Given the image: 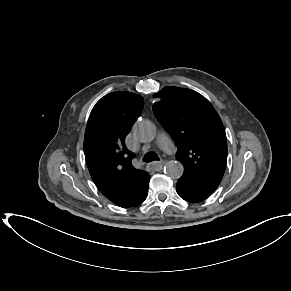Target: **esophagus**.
<instances>
[{
    "instance_id": "esophagus-1",
    "label": "esophagus",
    "mask_w": 291,
    "mask_h": 291,
    "mask_svg": "<svg viewBox=\"0 0 291 291\" xmlns=\"http://www.w3.org/2000/svg\"><path fill=\"white\" fill-rule=\"evenodd\" d=\"M165 165V161L161 160L158 162H153L150 164V168L154 171H159L163 168V166Z\"/></svg>"
}]
</instances>
